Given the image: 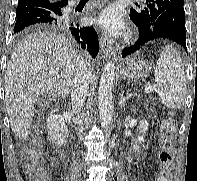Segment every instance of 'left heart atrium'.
<instances>
[{"mask_svg":"<svg viewBox=\"0 0 197 181\" xmlns=\"http://www.w3.org/2000/svg\"><path fill=\"white\" fill-rule=\"evenodd\" d=\"M97 22L104 29L113 33H119L124 28L121 11L115 6H111L103 10L99 14Z\"/></svg>","mask_w":197,"mask_h":181,"instance_id":"1","label":"left heart atrium"}]
</instances>
